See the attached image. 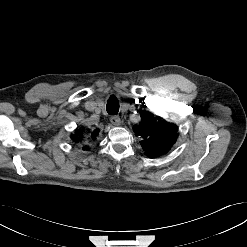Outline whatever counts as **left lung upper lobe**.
I'll list each match as a JSON object with an SVG mask.
<instances>
[{
  "label": "left lung upper lobe",
  "mask_w": 247,
  "mask_h": 247,
  "mask_svg": "<svg viewBox=\"0 0 247 247\" xmlns=\"http://www.w3.org/2000/svg\"><path fill=\"white\" fill-rule=\"evenodd\" d=\"M176 125L155 117L152 113L143 111L141 123L134 127V132L142 138L140 142L146 154L158 157L166 153L177 139Z\"/></svg>",
  "instance_id": "left-lung-upper-lobe-1"
}]
</instances>
